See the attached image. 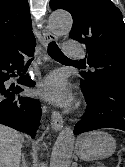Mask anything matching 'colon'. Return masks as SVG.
I'll use <instances>...</instances> for the list:
<instances>
[{
    "mask_svg": "<svg viewBox=\"0 0 125 167\" xmlns=\"http://www.w3.org/2000/svg\"><path fill=\"white\" fill-rule=\"evenodd\" d=\"M117 167H125V146L119 152V161Z\"/></svg>",
    "mask_w": 125,
    "mask_h": 167,
    "instance_id": "obj_1",
    "label": "colon"
}]
</instances>
